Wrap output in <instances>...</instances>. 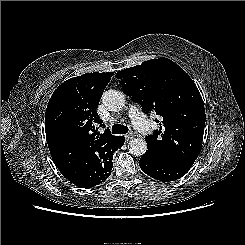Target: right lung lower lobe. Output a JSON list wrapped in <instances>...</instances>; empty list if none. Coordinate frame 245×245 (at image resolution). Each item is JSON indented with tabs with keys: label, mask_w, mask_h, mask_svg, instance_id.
<instances>
[{
	"label": "right lung lower lobe",
	"mask_w": 245,
	"mask_h": 245,
	"mask_svg": "<svg viewBox=\"0 0 245 245\" xmlns=\"http://www.w3.org/2000/svg\"><path fill=\"white\" fill-rule=\"evenodd\" d=\"M124 142L125 138L119 136L114 142L99 146L93 150V155L89 161V167L94 171L95 176L90 183H84L79 172L73 166H57V168L73 184L82 188H91L110 176L113 166V152L120 149Z\"/></svg>",
	"instance_id": "obj_1"
}]
</instances>
